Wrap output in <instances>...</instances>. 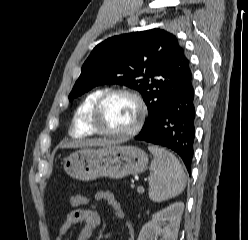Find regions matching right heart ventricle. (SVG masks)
<instances>
[{
	"label": "right heart ventricle",
	"mask_w": 248,
	"mask_h": 240,
	"mask_svg": "<svg viewBox=\"0 0 248 240\" xmlns=\"http://www.w3.org/2000/svg\"><path fill=\"white\" fill-rule=\"evenodd\" d=\"M106 91L105 88H97L89 92L80 102L75 110L70 134L74 138H85L94 134V130L90 124V116L92 108L99 96Z\"/></svg>",
	"instance_id": "right-heart-ventricle-1"
}]
</instances>
